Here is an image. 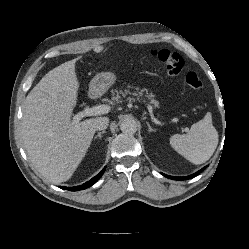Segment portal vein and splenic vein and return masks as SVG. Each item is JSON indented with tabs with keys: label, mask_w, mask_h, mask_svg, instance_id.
I'll return each mask as SVG.
<instances>
[{
	"label": "portal vein and splenic vein",
	"mask_w": 249,
	"mask_h": 249,
	"mask_svg": "<svg viewBox=\"0 0 249 249\" xmlns=\"http://www.w3.org/2000/svg\"><path fill=\"white\" fill-rule=\"evenodd\" d=\"M111 110V107L109 105L103 104V105H98L94 107H85L83 111L78 112L76 115L73 117V124L79 123L81 119L84 117H89V116H96V115H101V114H107Z\"/></svg>",
	"instance_id": "1"
}]
</instances>
